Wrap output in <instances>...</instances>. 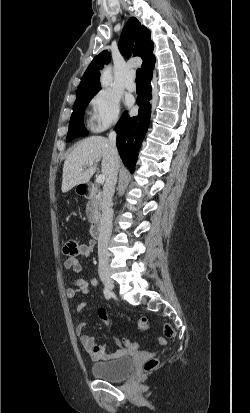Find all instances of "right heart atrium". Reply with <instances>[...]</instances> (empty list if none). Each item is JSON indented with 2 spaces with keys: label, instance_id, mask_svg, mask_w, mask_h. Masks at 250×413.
I'll return each mask as SVG.
<instances>
[{
  "label": "right heart atrium",
  "instance_id": "right-heart-atrium-1",
  "mask_svg": "<svg viewBox=\"0 0 250 413\" xmlns=\"http://www.w3.org/2000/svg\"><path fill=\"white\" fill-rule=\"evenodd\" d=\"M89 108V127L93 132H102L120 119V100L111 91H98L91 98Z\"/></svg>",
  "mask_w": 250,
  "mask_h": 413
}]
</instances>
